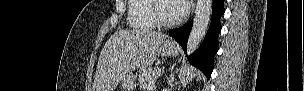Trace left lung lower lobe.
Returning <instances> with one entry per match:
<instances>
[{
  "label": "left lung lower lobe",
  "mask_w": 304,
  "mask_h": 91,
  "mask_svg": "<svg viewBox=\"0 0 304 91\" xmlns=\"http://www.w3.org/2000/svg\"><path fill=\"white\" fill-rule=\"evenodd\" d=\"M224 11V0H213L212 18L209 30L200 48L189 57L190 63L198 67L205 74L207 79L211 76L214 55L219 49L218 34L221 30L220 18L224 14ZM192 23L193 21H190L181 28L169 31V35L180 43L184 51H186Z\"/></svg>",
  "instance_id": "1"
}]
</instances>
